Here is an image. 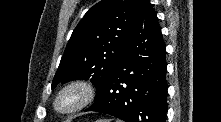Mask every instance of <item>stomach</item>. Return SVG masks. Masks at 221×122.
Returning <instances> with one entry per match:
<instances>
[{"label":"stomach","mask_w":221,"mask_h":122,"mask_svg":"<svg viewBox=\"0 0 221 122\" xmlns=\"http://www.w3.org/2000/svg\"><path fill=\"white\" fill-rule=\"evenodd\" d=\"M97 122H109V120H99Z\"/></svg>","instance_id":"1"}]
</instances>
